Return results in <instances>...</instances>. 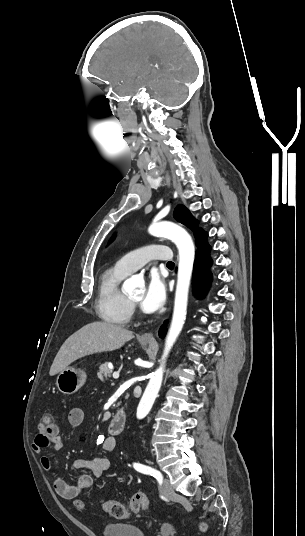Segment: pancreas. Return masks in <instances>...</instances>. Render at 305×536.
<instances>
[{
  "mask_svg": "<svg viewBox=\"0 0 305 536\" xmlns=\"http://www.w3.org/2000/svg\"><path fill=\"white\" fill-rule=\"evenodd\" d=\"M111 374L112 370H110L107 362H105V364H102V366H100L97 372V376L99 380H101V382H104V380H108V378H111Z\"/></svg>",
  "mask_w": 305,
  "mask_h": 536,
  "instance_id": "obj_1",
  "label": "pancreas"
}]
</instances>
